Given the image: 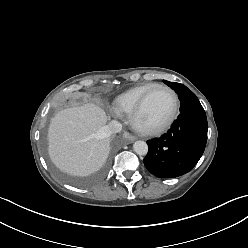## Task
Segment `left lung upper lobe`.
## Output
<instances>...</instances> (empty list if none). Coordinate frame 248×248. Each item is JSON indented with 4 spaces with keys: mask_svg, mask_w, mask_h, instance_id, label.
Instances as JSON below:
<instances>
[{
    "mask_svg": "<svg viewBox=\"0 0 248 248\" xmlns=\"http://www.w3.org/2000/svg\"><path fill=\"white\" fill-rule=\"evenodd\" d=\"M163 82L168 85L171 89L175 90V92L178 94V98L180 99V111L184 110L186 106L189 104V101L191 98L194 100H198V98L195 96V94L190 91L186 86L180 83L175 82H169L166 80H163Z\"/></svg>",
    "mask_w": 248,
    "mask_h": 248,
    "instance_id": "left-lung-upper-lobe-1",
    "label": "left lung upper lobe"
}]
</instances>
